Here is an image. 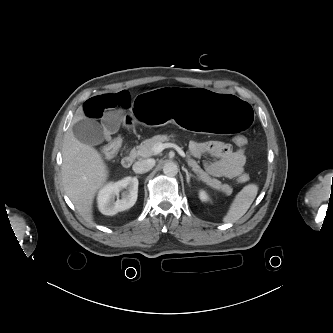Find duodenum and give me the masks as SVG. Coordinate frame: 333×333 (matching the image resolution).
Segmentation results:
<instances>
[{"mask_svg":"<svg viewBox=\"0 0 333 333\" xmlns=\"http://www.w3.org/2000/svg\"><path fill=\"white\" fill-rule=\"evenodd\" d=\"M135 160V155L133 152L128 151L122 159V165L125 168H129Z\"/></svg>","mask_w":333,"mask_h":333,"instance_id":"410a0bca","label":"duodenum"}]
</instances>
